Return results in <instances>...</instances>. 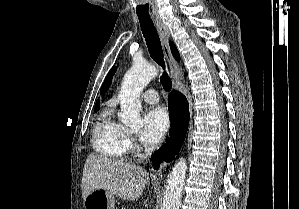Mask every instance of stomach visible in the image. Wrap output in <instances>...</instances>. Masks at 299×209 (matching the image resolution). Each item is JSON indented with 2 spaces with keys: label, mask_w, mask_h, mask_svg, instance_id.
<instances>
[{
  "label": "stomach",
  "mask_w": 299,
  "mask_h": 209,
  "mask_svg": "<svg viewBox=\"0 0 299 209\" xmlns=\"http://www.w3.org/2000/svg\"><path fill=\"white\" fill-rule=\"evenodd\" d=\"M85 209H115L112 193L104 189H95L84 199Z\"/></svg>",
  "instance_id": "1"
}]
</instances>
